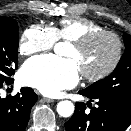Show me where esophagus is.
I'll use <instances>...</instances> for the list:
<instances>
[{
    "mask_svg": "<svg viewBox=\"0 0 131 131\" xmlns=\"http://www.w3.org/2000/svg\"><path fill=\"white\" fill-rule=\"evenodd\" d=\"M43 101L46 102V103H52V102H54L53 99H51V98H46V97L43 98Z\"/></svg>",
    "mask_w": 131,
    "mask_h": 131,
    "instance_id": "1",
    "label": "esophagus"
}]
</instances>
